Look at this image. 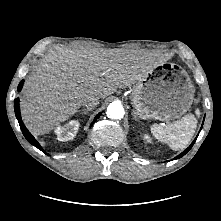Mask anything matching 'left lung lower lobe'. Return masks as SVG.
<instances>
[{"label":"left lung lower lobe","mask_w":221,"mask_h":221,"mask_svg":"<svg viewBox=\"0 0 221 221\" xmlns=\"http://www.w3.org/2000/svg\"><path fill=\"white\" fill-rule=\"evenodd\" d=\"M196 139L192 142V144L185 150L183 151L180 155H178L175 159H179L181 158L182 156H184L190 149L191 147L193 146V144L195 143Z\"/></svg>","instance_id":"obj_1"}]
</instances>
